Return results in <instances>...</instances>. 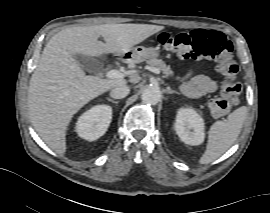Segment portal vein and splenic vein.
<instances>
[{
	"label": "portal vein and splenic vein",
	"mask_w": 270,
	"mask_h": 213,
	"mask_svg": "<svg viewBox=\"0 0 270 213\" xmlns=\"http://www.w3.org/2000/svg\"><path fill=\"white\" fill-rule=\"evenodd\" d=\"M147 69L155 74H160V70L155 67H147ZM126 73H122L119 70H110L106 73V77L110 79H120L124 78Z\"/></svg>",
	"instance_id": "portal-vein-and-splenic-vein-1"
}]
</instances>
